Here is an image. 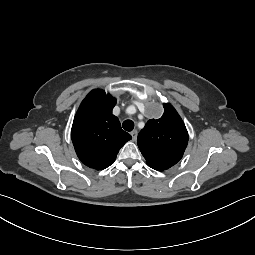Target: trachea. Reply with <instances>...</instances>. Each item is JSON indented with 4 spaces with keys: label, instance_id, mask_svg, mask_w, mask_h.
<instances>
[{
    "label": "trachea",
    "instance_id": "obj_1",
    "mask_svg": "<svg viewBox=\"0 0 255 255\" xmlns=\"http://www.w3.org/2000/svg\"><path fill=\"white\" fill-rule=\"evenodd\" d=\"M122 127L126 131H132L134 128V122L132 120H125L122 124Z\"/></svg>",
    "mask_w": 255,
    "mask_h": 255
}]
</instances>
